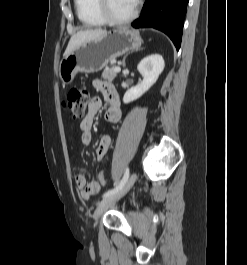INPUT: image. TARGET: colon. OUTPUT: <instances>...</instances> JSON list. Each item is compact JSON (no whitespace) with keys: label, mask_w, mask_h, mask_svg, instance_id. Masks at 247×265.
Wrapping results in <instances>:
<instances>
[{"label":"colon","mask_w":247,"mask_h":265,"mask_svg":"<svg viewBox=\"0 0 247 265\" xmlns=\"http://www.w3.org/2000/svg\"><path fill=\"white\" fill-rule=\"evenodd\" d=\"M89 102V94L85 88H72L64 101V106L69 110L74 119L81 118L87 109ZM98 181L103 186H107V177L104 170H100L98 174Z\"/></svg>","instance_id":"colon-1"}]
</instances>
